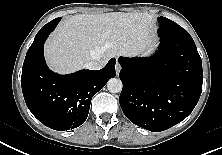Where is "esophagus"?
<instances>
[{
    "instance_id": "esophagus-1",
    "label": "esophagus",
    "mask_w": 222,
    "mask_h": 155,
    "mask_svg": "<svg viewBox=\"0 0 222 155\" xmlns=\"http://www.w3.org/2000/svg\"><path fill=\"white\" fill-rule=\"evenodd\" d=\"M115 69H116V73L118 75L121 70V65L118 62L116 63Z\"/></svg>"
}]
</instances>
